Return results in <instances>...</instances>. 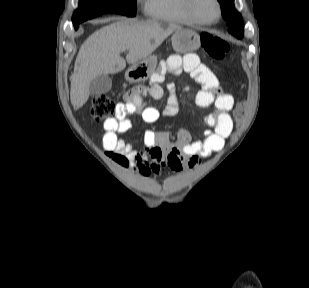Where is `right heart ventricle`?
Here are the masks:
<instances>
[{
  "mask_svg": "<svg viewBox=\"0 0 309 288\" xmlns=\"http://www.w3.org/2000/svg\"><path fill=\"white\" fill-rule=\"evenodd\" d=\"M185 0H145L144 12L157 21L194 24L185 10Z\"/></svg>",
  "mask_w": 309,
  "mask_h": 288,
  "instance_id": "right-heart-ventricle-1",
  "label": "right heart ventricle"
}]
</instances>
